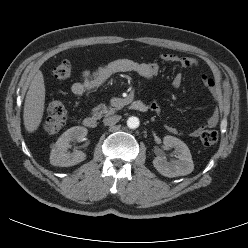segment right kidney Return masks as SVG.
Segmentation results:
<instances>
[{"mask_svg": "<svg viewBox=\"0 0 248 248\" xmlns=\"http://www.w3.org/2000/svg\"><path fill=\"white\" fill-rule=\"evenodd\" d=\"M88 130L85 127L74 126L65 131L53 145L50 153V163L54 166L68 167L76 165L86 159L82 151L67 152L71 141L82 142L85 140Z\"/></svg>", "mask_w": 248, "mask_h": 248, "instance_id": "right-kidney-1", "label": "right kidney"}]
</instances>
